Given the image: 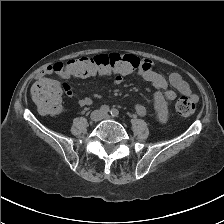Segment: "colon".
Segmentation results:
<instances>
[{
	"instance_id": "5ec220e1",
	"label": "colon",
	"mask_w": 224,
	"mask_h": 224,
	"mask_svg": "<svg viewBox=\"0 0 224 224\" xmlns=\"http://www.w3.org/2000/svg\"><path fill=\"white\" fill-rule=\"evenodd\" d=\"M65 66L74 78L128 75L140 66V59L130 54L108 53L72 59ZM31 95L41 113L55 115L60 112L61 92L58 87L45 81L35 82ZM195 110V103L189 97H181L176 103V112L182 117L191 116Z\"/></svg>"
}]
</instances>
